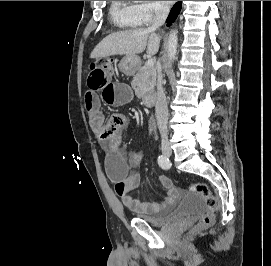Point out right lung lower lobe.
<instances>
[{"label": "right lung lower lobe", "mask_w": 271, "mask_h": 266, "mask_svg": "<svg viewBox=\"0 0 271 266\" xmlns=\"http://www.w3.org/2000/svg\"><path fill=\"white\" fill-rule=\"evenodd\" d=\"M181 7H182L181 2H177L173 6V8L171 9L170 14H169V16H168V18L166 20V22L168 24H171L177 18V15L179 14V12L181 10Z\"/></svg>", "instance_id": "1"}]
</instances>
